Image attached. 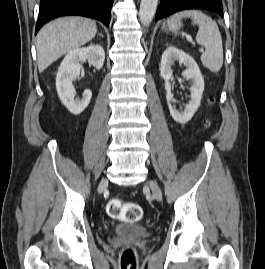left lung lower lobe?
I'll return each mask as SVG.
<instances>
[{"label":"left lung lower lobe","instance_id":"obj_1","mask_svg":"<svg viewBox=\"0 0 265 269\" xmlns=\"http://www.w3.org/2000/svg\"><path fill=\"white\" fill-rule=\"evenodd\" d=\"M187 9H205L223 15L222 0H161L155 19Z\"/></svg>","mask_w":265,"mask_h":269}]
</instances>
